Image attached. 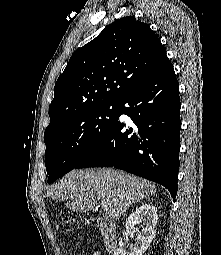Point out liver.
I'll return each mask as SVG.
<instances>
[{"label": "liver", "mask_w": 221, "mask_h": 255, "mask_svg": "<svg viewBox=\"0 0 221 255\" xmlns=\"http://www.w3.org/2000/svg\"><path fill=\"white\" fill-rule=\"evenodd\" d=\"M156 190L155 184L120 170L92 169L69 172L46 196L66 201L65 206L76 212L89 211L100 202L110 218L118 219Z\"/></svg>", "instance_id": "6515ba94"}]
</instances>
